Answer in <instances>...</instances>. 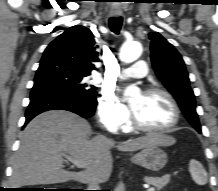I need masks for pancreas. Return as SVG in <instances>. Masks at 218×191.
Returning <instances> with one entry per match:
<instances>
[{"instance_id": "pancreas-1", "label": "pancreas", "mask_w": 218, "mask_h": 191, "mask_svg": "<svg viewBox=\"0 0 218 191\" xmlns=\"http://www.w3.org/2000/svg\"><path fill=\"white\" fill-rule=\"evenodd\" d=\"M144 180L147 184L153 185L160 190L168 184L170 176L164 175L162 177H145Z\"/></svg>"}]
</instances>
